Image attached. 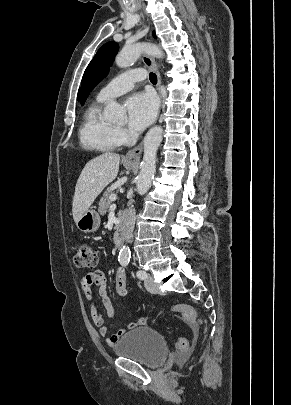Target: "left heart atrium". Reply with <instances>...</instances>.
I'll return each instance as SVG.
<instances>
[{
  "mask_svg": "<svg viewBox=\"0 0 291 405\" xmlns=\"http://www.w3.org/2000/svg\"><path fill=\"white\" fill-rule=\"evenodd\" d=\"M157 110L155 97L150 93H137L127 101L128 127L141 132L154 119Z\"/></svg>",
  "mask_w": 291,
  "mask_h": 405,
  "instance_id": "1",
  "label": "left heart atrium"
}]
</instances>
